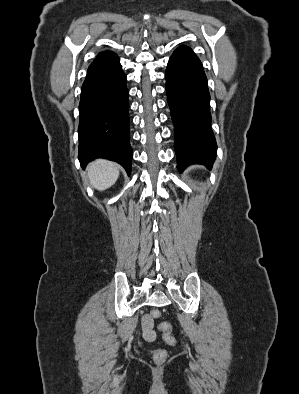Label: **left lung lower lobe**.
<instances>
[{"label":"left lung lower lobe","mask_w":299,"mask_h":394,"mask_svg":"<svg viewBox=\"0 0 299 394\" xmlns=\"http://www.w3.org/2000/svg\"><path fill=\"white\" fill-rule=\"evenodd\" d=\"M165 78L179 172L195 163L211 168L217 145L211 130L210 94L201 61L189 47L180 46L169 59Z\"/></svg>","instance_id":"left-lung-lower-lobe-1"}]
</instances>
